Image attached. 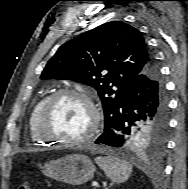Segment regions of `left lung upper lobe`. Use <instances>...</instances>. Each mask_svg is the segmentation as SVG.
I'll use <instances>...</instances> for the list:
<instances>
[{
  "label": "left lung upper lobe",
  "instance_id": "obj_1",
  "mask_svg": "<svg viewBox=\"0 0 188 189\" xmlns=\"http://www.w3.org/2000/svg\"><path fill=\"white\" fill-rule=\"evenodd\" d=\"M153 60L139 30L112 21L64 43L48 61L41 79H70L93 86L102 101L106 128L122 103L128 83L146 71ZM166 129L140 127L125 146L159 153L165 145Z\"/></svg>",
  "mask_w": 188,
  "mask_h": 189
}]
</instances>
